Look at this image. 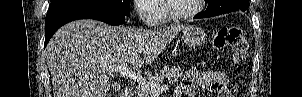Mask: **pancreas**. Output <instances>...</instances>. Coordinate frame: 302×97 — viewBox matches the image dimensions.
Masks as SVG:
<instances>
[{"label":"pancreas","instance_id":"pancreas-1","mask_svg":"<svg viewBox=\"0 0 302 97\" xmlns=\"http://www.w3.org/2000/svg\"><path fill=\"white\" fill-rule=\"evenodd\" d=\"M182 75L183 69L180 67L166 65L158 73L151 76L148 81L156 84L163 83L165 80L175 82L181 78ZM137 97H151V92L147 87L140 84L137 86Z\"/></svg>","mask_w":302,"mask_h":97}]
</instances>
